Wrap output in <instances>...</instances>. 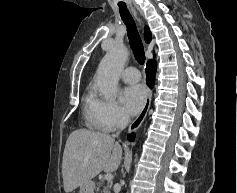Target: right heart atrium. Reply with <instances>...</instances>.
Listing matches in <instances>:
<instances>
[{
    "instance_id": "1",
    "label": "right heart atrium",
    "mask_w": 237,
    "mask_h": 193,
    "mask_svg": "<svg viewBox=\"0 0 237 193\" xmlns=\"http://www.w3.org/2000/svg\"><path fill=\"white\" fill-rule=\"evenodd\" d=\"M94 112L99 129L105 132L121 128L128 122L125 111L111 99L96 98Z\"/></svg>"
}]
</instances>
